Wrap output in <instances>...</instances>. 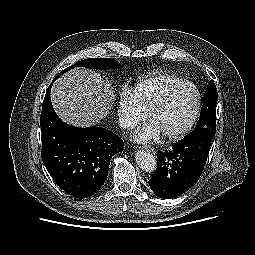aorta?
<instances>
[{
	"label": "aorta",
	"instance_id": "aorta-1",
	"mask_svg": "<svg viewBox=\"0 0 255 255\" xmlns=\"http://www.w3.org/2000/svg\"><path fill=\"white\" fill-rule=\"evenodd\" d=\"M138 166L145 172H153L156 169V159L154 155L146 150H140L135 154Z\"/></svg>",
	"mask_w": 255,
	"mask_h": 255
}]
</instances>
